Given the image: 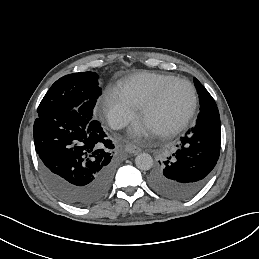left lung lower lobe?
<instances>
[{
    "label": "left lung lower lobe",
    "instance_id": "obj_1",
    "mask_svg": "<svg viewBox=\"0 0 259 259\" xmlns=\"http://www.w3.org/2000/svg\"><path fill=\"white\" fill-rule=\"evenodd\" d=\"M220 139L218 108L200 111L195 127L181 137L177 151L150 174V187L176 200L198 193L218 161Z\"/></svg>",
    "mask_w": 259,
    "mask_h": 259
}]
</instances>
